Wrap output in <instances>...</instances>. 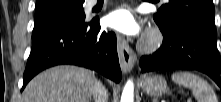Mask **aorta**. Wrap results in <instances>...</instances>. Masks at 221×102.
<instances>
[{"label":"aorta","mask_w":221,"mask_h":102,"mask_svg":"<svg viewBox=\"0 0 221 102\" xmlns=\"http://www.w3.org/2000/svg\"><path fill=\"white\" fill-rule=\"evenodd\" d=\"M121 102H134V84L132 80L127 81L121 95Z\"/></svg>","instance_id":"762f6f07"}]
</instances>
